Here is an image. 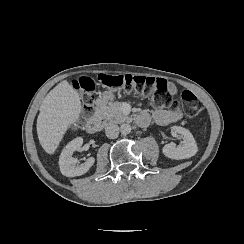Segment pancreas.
<instances>
[{
	"label": "pancreas",
	"instance_id": "obj_1",
	"mask_svg": "<svg viewBox=\"0 0 244 244\" xmlns=\"http://www.w3.org/2000/svg\"><path fill=\"white\" fill-rule=\"evenodd\" d=\"M95 116L99 120H109L111 123L120 124L129 121V115L122 111V104L117 101H109L108 104L100 105Z\"/></svg>",
	"mask_w": 244,
	"mask_h": 244
}]
</instances>
